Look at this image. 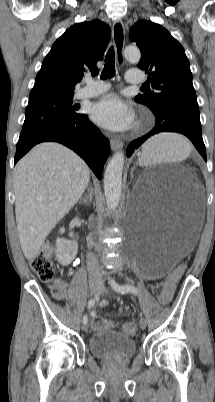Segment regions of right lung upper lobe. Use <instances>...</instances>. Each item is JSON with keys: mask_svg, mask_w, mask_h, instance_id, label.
Instances as JSON below:
<instances>
[{"mask_svg": "<svg viewBox=\"0 0 215 402\" xmlns=\"http://www.w3.org/2000/svg\"><path fill=\"white\" fill-rule=\"evenodd\" d=\"M110 35L109 26L99 20L71 26L43 60L29 98L74 95L84 73L97 74L96 62L102 58Z\"/></svg>", "mask_w": 215, "mask_h": 402, "instance_id": "right-lung-upper-lobe-1", "label": "right lung upper lobe"}]
</instances>
